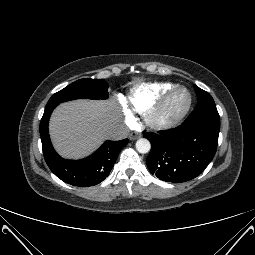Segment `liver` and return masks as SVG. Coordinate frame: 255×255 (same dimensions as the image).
I'll return each instance as SVG.
<instances>
[{
	"mask_svg": "<svg viewBox=\"0 0 255 255\" xmlns=\"http://www.w3.org/2000/svg\"><path fill=\"white\" fill-rule=\"evenodd\" d=\"M115 100H75L60 104L50 118L49 132L56 151L79 159L92 153L117 126Z\"/></svg>",
	"mask_w": 255,
	"mask_h": 255,
	"instance_id": "obj_1",
	"label": "liver"
}]
</instances>
